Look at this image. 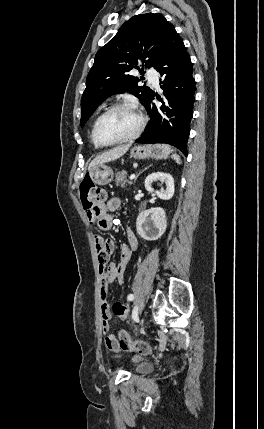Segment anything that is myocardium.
I'll use <instances>...</instances> for the list:
<instances>
[{
    "mask_svg": "<svg viewBox=\"0 0 264 429\" xmlns=\"http://www.w3.org/2000/svg\"><path fill=\"white\" fill-rule=\"evenodd\" d=\"M123 109L131 110L137 116L138 125H137L135 131L131 135H129L125 138L113 141V142H102L101 140H99V138L97 136V128H98L100 121L105 116H107L108 114H110L114 111L123 110ZM144 127H145V117L142 114V112L139 110V108L131 102H119V103H116V104L110 106L109 108H107L104 112H102L96 118L94 125H93V128H92V139L100 147H108V146H113V145H117V144H122V143L133 141L136 138H138L140 136V134L142 133Z\"/></svg>",
    "mask_w": 264,
    "mask_h": 429,
    "instance_id": "f54148a6",
    "label": "myocardium"
}]
</instances>
